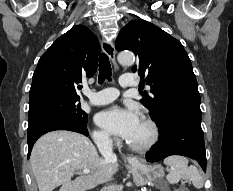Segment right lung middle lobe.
<instances>
[{
  "mask_svg": "<svg viewBox=\"0 0 233 191\" xmlns=\"http://www.w3.org/2000/svg\"><path fill=\"white\" fill-rule=\"evenodd\" d=\"M29 123L43 115L60 116L86 125L88 117L78 98L57 93H45L29 99Z\"/></svg>",
  "mask_w": 233,
  "mask_h": 191,
  "instance_id": "right-lung-middle-lobe-1",
  "label": "right lung middle lobe"
}]
</instances>
